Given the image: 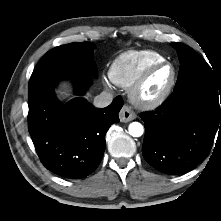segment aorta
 Masks as SVG:
<instances>
[{
  "label": "aorta",
  "mask_w": 221,
  "mask_h": 221,
  "mask_svg": "<svg viewBox=\"0 0 221 221\" xmlns=\"http://www.w3.org/2000/svg\"><path fill=\"white\" fill-rule=\"evenodd\" d=\"M129 134L133 137H140L143 135L144 128L139 122H132L128 127Z\"/></svg>",
  "instance_id": "aorta-1"
}]
</instances>
